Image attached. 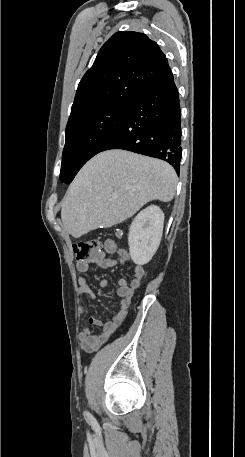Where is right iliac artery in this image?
<instances>
[{"mask_svg": "<svg viewBox=\"0 0 245 457\" xmlns=\"http://www.w3.org/2000/svg\"><path fill=\"white\" fill-rule=\"evenodd\" d=\"M87 415L91 418V420H92L91 422L94 423L93 418L89 414H87Z\"/></svg>", "mask_w": 245, "mask_h": 457, "instance_id": "1", "label": "right iliac artery"}]
</instances>
